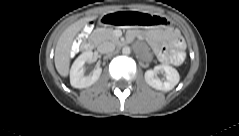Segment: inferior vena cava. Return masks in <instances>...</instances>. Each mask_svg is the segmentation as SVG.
I'll use <instances>...</instances> for the list:
<instances>
[{
	"label": "inferior vena cava",
	"instance_id": "602c4592",
	"mask_svg": "<svg viewBox=\"0 0 239 136\" xmlns=\"http://www.w3.org/2000/svg\"><path fill=\"white\" fill-rule=\"evenodd\" d=\"M97 50L100 52V53H110V52H113L115 50V45L114 43L112 42H102Z\"/></svg>",
	"mask_w": 239,
	"mask_h": 136
}]
</instances>
